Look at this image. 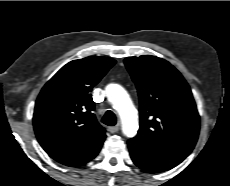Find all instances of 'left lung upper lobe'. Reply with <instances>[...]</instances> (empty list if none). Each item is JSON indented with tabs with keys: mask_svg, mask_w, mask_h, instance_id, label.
Returning a JSON list of instances; mask_svg holds the SVG:
<instances>
[{
	"mask_svg": "<svg viewBox=\"0 0 230 186\" xmlns=\"http://www.w3.org/2000/svg\"><path fill=\"white\" fill-rule=\"evenodd\" d=\"M124 62L140 99V128L132 139L187 157L197 142L200 127L189 85L164 59L142 55L128 57Z\"/></svg>",
	"mask_w": 230,
	"mask_h": 186,
	"instance_id": "1",
	"label": "left lung upper lobe"
}]
</instances>
